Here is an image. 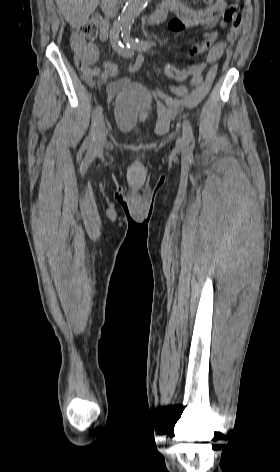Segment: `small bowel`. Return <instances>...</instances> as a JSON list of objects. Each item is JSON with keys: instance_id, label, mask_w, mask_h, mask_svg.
<instances>
[{"instance_id": "c3829d8e", "label": "small bowel", "mask_w": 280, "mask_h": 472, "mask_svg": "<svg viewBox=\"0 0 280 472\" xmlns=\"http://www.w3.org/2000/svg\"><path fill=\"white\" fill-rule=\"evenodd\" d=\"M204 2L208 5L206 8L194 9L185 5L180 0H164L163 5L166 6L169 12L175 15V18L169 23L170 30L181 32L187 28L202 27L212 29L216 26L226 10L227 2L226 0H204ZM238 30L239 26L231 27L226 36L227 41L234 40ZM215 37L216 32L214 31L205 33V42L200 46L199 53H203L207 49L209 51L204 62L190 65L186 69L190 77L189 85L170 86V91L178 96V98L171 97L159 89L154 90L153 94L156 98L157 113L161 126H167L179 111L197 106L209 92L217 74L216 62L222 57L226 48V42L224 41H219L212 45ZM99 38L101 41H105L108 38V25L104 21L100 23ZM71 44L76 57L84 63L82 68L84 81L90 86H95L94 78L100 74V69L93 67L99 56L97 46L95 43L87 41L79 32H75L72 35ZM144 62L145 56L138 55L128 70L130 72L137 71ZM207 67V72L203 75V71ZM105 71L115 75L117 70L114 64L107 62L104 64ZM127 84V79L109 83L105 87L107 98L111 100Z\"/></svg>"}]
</instances>
